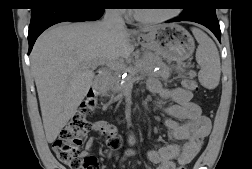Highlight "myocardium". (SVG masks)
Masks as SVG:
<instances>
[{"instance_id":"1","label":"myocardium","mask_w":252,"mask_h":169,"mask_svg":"<svg viewBox=\"0 0 252 169\" xmlns=\"http://www.w3.org/2000/svg\"><path fill=\"white\" fill-rule=\"evenodd\" d=\"M133 15L136 20H138L141 23L151 24V23H158L162 21H166L168 19H171L177 15V10H173L172 12H169L167 14L155 16V17H144L137 13L136 10H133Z\"/></svg>"}]
</instances>
